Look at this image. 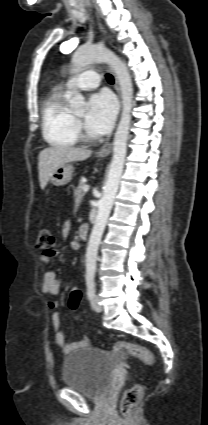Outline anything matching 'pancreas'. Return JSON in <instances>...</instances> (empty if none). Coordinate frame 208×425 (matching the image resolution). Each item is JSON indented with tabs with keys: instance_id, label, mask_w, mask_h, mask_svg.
<instances>
[{
	"instance_id": "cf45deb5",
	"label": "pancreas",
	"mask_w": 208,
	"mask_h": 425,
	"mask_svg": "<svg viewBox=\"0 0 208 425\" xmlns=\"http://www.w3.org/2000/svg\"><path fill=\"white\" fill-rule=\"evenodd\" d=\"M83 177L80 179L77 189L74 191L75 196V204H74V210L76 211L78 206L80 205L85 192L83 191V187L86 185L85 181H83Z\"/></svg>"
}]
</instances>
